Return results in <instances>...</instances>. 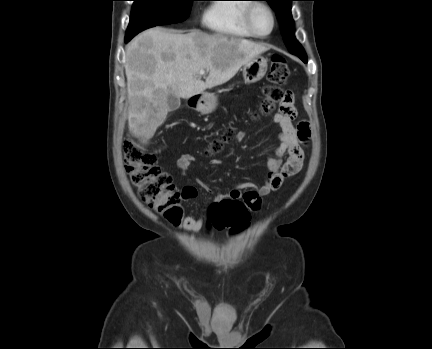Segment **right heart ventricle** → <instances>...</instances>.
<instances>
[{"instance_id": "obj_1", "label": "right heart ventricle", "mask_w": 432, "mask_h": 349, "mask_svg": "<svg viewBox=\"0 0 432 349\" xmlns=\"http://www.w3.org/2000/svg\"><path fill=\"white\" fill-rule=\"evenodd\" d=\"M231 1L234 3H224ZM249 0H214L204 14V24L212 32L229 38L253 37L243 23L244 10Z\"/></svg>"}]
</instances>
